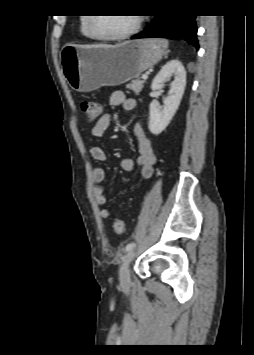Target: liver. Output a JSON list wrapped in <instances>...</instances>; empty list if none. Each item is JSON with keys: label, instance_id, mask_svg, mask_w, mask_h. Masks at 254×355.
<instances>
[{"label": "liver", "instance_id": "6515ba94", "mask_svg": "<svg viewBox=\"0 0 254 355\" xmlns=\"http://www.w3.org/2000/svg\"><path fill=\"white\" fill-rule=\"evenodd\" d=\"M98 46L110 47V46H107V45H98ZM79 47H91V46H86V45H83V46H79Z\"/></svg>", "mask_w": 254, "mask_h": 355}]
</instances>
